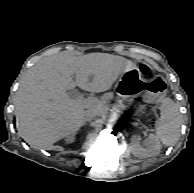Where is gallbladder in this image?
Segmentation results:
<instances>
[{
  "label": "gallbladder",
  "instance_id": "bac80fb5",
  "mask_svg": "<svg viewBox=\"0 0 194 193\" xmlns=\"http://www.w3.org/2000/svg\"><path fill=\"white\" fill-rule=\"evenodd\" d=\"M73 92H74V90L71 89V90L68 91V94L71 96Z\"/></svg>",
  "mask_w": 194,
  "mask_h": 193
}]
</instances>
